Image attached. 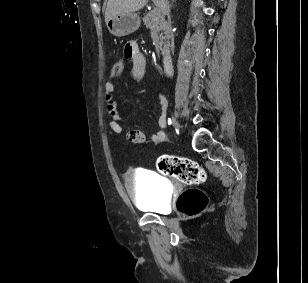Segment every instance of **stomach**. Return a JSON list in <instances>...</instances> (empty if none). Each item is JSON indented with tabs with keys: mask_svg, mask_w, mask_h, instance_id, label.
Listing matches in <instances>:
<instances>
[{
	"mask_svg": "<svg viewBox=\"0 0 308 283\" xmlns=\"http://www.w3.org/2000/svg\"><path fill=\"white\" fill-rule=\"evenodd\" d=\"M109 32L116 37H123L135 32L140 26V18L135 13L119 14L107 23Z\"/></svg>",
	"mask_w": 308,
	"mask_h": 283,
	"instance_id": "obj_1",
	"label": "stomach"
}]
</instances>
